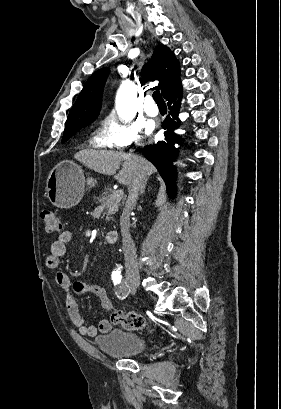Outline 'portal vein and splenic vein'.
I'll return each instance as SVG.
<instances>
[{"label": "portal vein and splenic vein", "instance_id": "18ae733b", "mask_svg": "<svg viewBox=\"0 0 281 409\" xmlns=\"http://www.w3.org/2000/svg\"><path fill=\"white\" fill-rule=\"evenodd\" d=\"M123 188H124V187H123ZM116 194H117L118 196H113V197L111 198V201L108 202V205H109V206L118 207V206H119V203H123V202H124V197L121 196V195L123 194V191H122L121 189H118V190L116 191Z\"/></svg>", "mask_w": 281, "mask_h": 409}]
</instances>
